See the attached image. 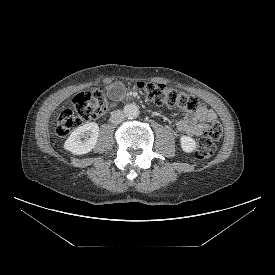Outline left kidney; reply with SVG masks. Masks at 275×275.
<instances>
[{
    "mask_svg": "<svg viewBox=\"0 0 275 275\" xmlns=\"http://www.w3.org/2000/svg\"><path fill=\"white\" fill-rule=\"evenodd\" d=\"M180 143L183 151L190 153L195 150L196 148V142L193 138L190 136H182L180 138Z\"/></svg>",
    "mask_w": 275,
    "mask_h": 275,
    "instance_id": "1",
    "label": "left kidney"
}]
</instances>
